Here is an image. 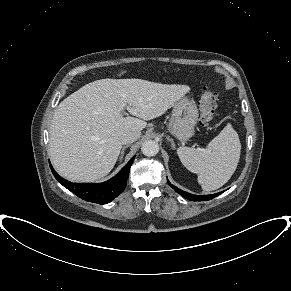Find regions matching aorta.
Returning a JSON list of instances; mask_svg holds the SVG:
<instances>
[{
    "label": "aorta",
    "mask_w": 291,
    "mask_h": 291,
    "mask_svg": "<svg viewBox=\"0 0 291 291\" xmlns=\"http://www.w3.org/2000/svg\"><path fill=\"white\" fill-rule=\"evenodd\" d=\"M141 152L145 156H154L159 152V145L154 140H147L141 146Z\"/></svg>",
    "instance_id": "aorta-1"
}]
</instances>
